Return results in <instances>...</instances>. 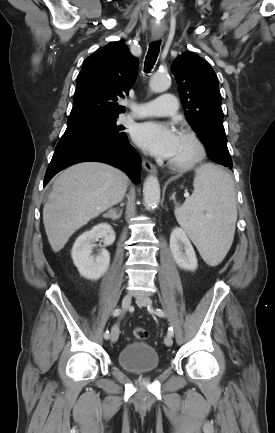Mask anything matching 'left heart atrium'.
I'll list each match as a JSON object with an SVG mask.
<instances>
[{"mask_svg":"<svg viewBox=\"0 0 275 433\" xmlns=\"http://www.w3.org/2000/svg\"><path fill=\"white\" fill-rule=\"evenodd\" d=\"M132 138L152 155L168 159L174 153L178 134L169 124L146 121L133 128Z\"/></svg>","mask_w":275,"mask_h":433,"instance_id":"obj_1","label":"left heart atrium"}]
</instances>
